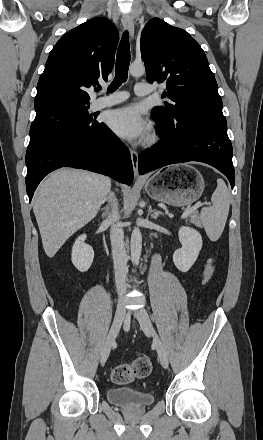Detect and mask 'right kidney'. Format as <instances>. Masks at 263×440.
Listing matches in <instances>:
<instances>
[{"mask_svg": "<svg viewBox=\"0 0 263 440\" xmlns=\"http://www.w3.org/2000/svg\"><path fill=\"white\" fill-rule=\"evenodd\" d=\"M85 239V234L79 236L72 247V263L80 272H86L94 259V250Z\"/></svg>", "mask_w": 263, "mask_h": 440, "instance_id": "right-kidney-1", "label": "right kidney"}]
</instances>
